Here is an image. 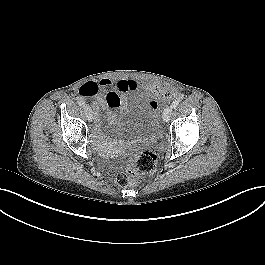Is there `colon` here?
I'll use <instances>...</instances> for the list:
<instances>
[{
    "label": "colon",
    "mask_w": 265,
    "mask_h": 265,
    "mask_svg": "<svg viewBox=\"0 0 265 265\" xmlns=\"http://www.w3.org/2000/svg\"><path fill=\"white\" fill-rule=\"evenodd\" d=\"M111 99L118 101L115 95L110 96ZM157 154L151 149H143L135 153L128 167L120 172L117 176V183L122 187L136 185L141 176L151 173L157 164Z\"/></svg>",
    "instance_id": "obj_1"
}]
</instances>
